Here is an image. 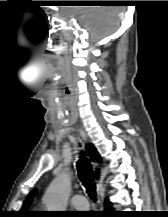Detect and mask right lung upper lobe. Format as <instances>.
Returning <instances> with one entry per match:
<instances>
[{"label":"right lung upper lobe","instance_id":"1","mask_svg":"<svg viewBox=\"0 0 168 217\" xmlns=\"http://www.w3.org/2000/svg\"><path fill=\"white\" fill-rule=\"evenodd\" d=\"M86 152L89 154L91 159H97L98 161H101V158L97 152V150L95 149V147L91 144H89L86 147ZM36 190H33L26 198V200L23 203V206L21 208L20 214L23 217H30L33 216V212L31 211H27V209L29 208L30 204L32 203L34 194H35Z\"/></svg>","mask_w":168,"mask_h":217}]
</instances>
